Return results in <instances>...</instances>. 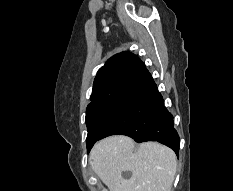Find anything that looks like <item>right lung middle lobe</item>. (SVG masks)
<instances>
[{
  "label": "right lung middle lobe",
  "instance_id": "obj_1",
  "mask_svg": "<svg viewBox=\"0 0 233 191\" xmlns=\"http://www.w3.org/2000/svg\"><path fill=\"white\" fill-rule=\"evenodd\" d=\"M127 99L128 92L125 91L108 96L87 106L85 121L88 129L86 139L88 152L107 125L126 105Z\"/></svg>",
  "mask_w": 233,
  "mask_h": 191
}]
</instances>
